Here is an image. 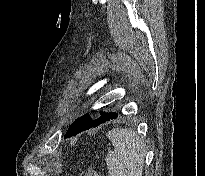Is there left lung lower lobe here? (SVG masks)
<instances>
[{
  "instance_id": "1",
  "label": "left lung lower lobe",
  "mask_w": 205,
  "mask_h": 176,
  "mask_svg": "<svg viewBox=\"0 0 205 176\" xmlns=\"http://www.w3.org/2000/svg\"><path fill=\"white\" fill-rule=\"evenodd\" d=\"M117 113H101L100 118L92 120L89 114H85L82 117L76 119L68 128L64 138H70L76 136L81 131L96 127L106 121L116 118Z\"/></svg>"
}]
</instances>
